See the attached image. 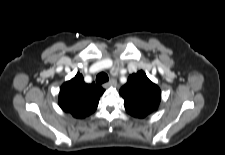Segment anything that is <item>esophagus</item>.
I'll list each match as a JSON object with an SVG mask.
<instances>
[{
  "mask_svg": "<svg viewBox=\"0 0 225 155\" xmlns=\"http://www.w3.org/2000/svg\"><path fill=\"white\" fill-rule=\"evenodd\" d=\"M114 85H116V80L111 79L109 82L104 84V87L107 88V87L114 86Z\"/></svg>",
  "mask_w": 225,
  "mask_h": 155,
  "instance_id": "1",
  "label": "esophagus"
}]
</instances>
